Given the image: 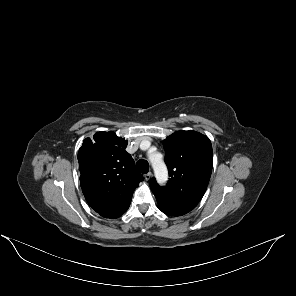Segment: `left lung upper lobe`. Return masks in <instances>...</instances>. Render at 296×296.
Returning <instances> with one entry per match:
<instances>
[{
  "label": "left lung upper lobe",
  "instance_id": "left-lung-upper-lobe-1",
  "mask_svg": "<svg viewBox=\"0 0 296 296\" xmlns=\"http://www.w3.org/2000/svg\"><path fill=\"white\" fill-rule=\"evenodd\" d=\"M170 179L161 187L155 178L150 188L158 208L186 214L203 197L210 180L213 153L210 139L195 131H178L163 141Z\"/></svg>",
  "mask_w": 296,
  "mask_h": 296
}]
</instances>
